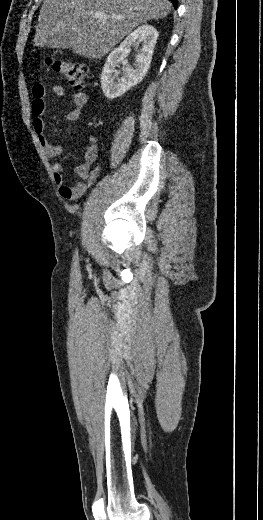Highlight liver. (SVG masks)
Segmentation results:
<instances>
[{
	"label": "liver",
	"instance_id": "6515ba94",
	"mask_svg": "<svg viewBox=\"0 0 263 520\" xmlns=\"http://www.w3.org/2000/svg\"><path fill=\"white\" fill-rule=\"evenodd\" d=\"M171 11L168 0H44L40 9L34 43L50 46L56 33L71 36V49L87 58L110 52L138 25L165 18ZM104 13L106 19H97ZM117 15L123 18L111 19Z\"/></svg>",
	"mask_w": 263,
	"mask_h": 520
}]
</instances>
